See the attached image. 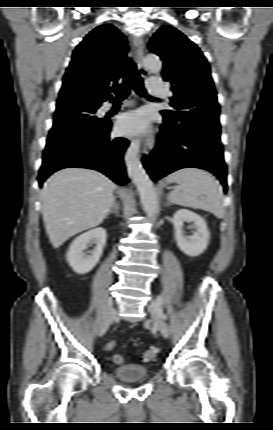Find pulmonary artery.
<instances>
[{"instance_id": "e3ab8cb5", "label": "pulmonary artery", "mask_w": 273, "mask_h": 430, "mask_svg": "<svg viewBox=\"0 0 273 430\" xmlns=\"http://www.w3.org/2000/svg\"><path fill=\"white\" fill-rule=\"evenodd\" d=\"M148 88H149V92L152 95H155V96H164V95H166V90H165L164 84H163V82L160 79H152V80H150L149 83H148ZM125 105L126 104H123L122 106H125ZM111 108H112V105H109L107 107L108 110L111 109Z\"/></svg>"}]
</instances>
